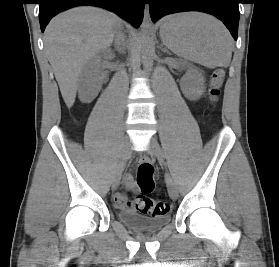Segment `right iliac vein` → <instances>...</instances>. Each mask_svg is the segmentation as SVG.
I'll return each instance as SVG.
<instances>
[{
	"label": "right iliac vein",
	"instance_id": "obj_1",
	"mask_svg": "<svg viewBox=\"0 0 279 267\" xmlns=\"http://www.w3.org/2000/svg\"><path fill=\"white\" fill-rule=\"evenodd\" d=\"M129 149H130V141H129V138L126 137L125 140L123 141V144H122V147L120 150L118 166H117V169L114 174L113 181H112L113 189L117 188V186L120 183L123 166L128 157Z\"/></svg>",
	"mask_w": 279,
	"mask_h": 267
}]
</instances>
